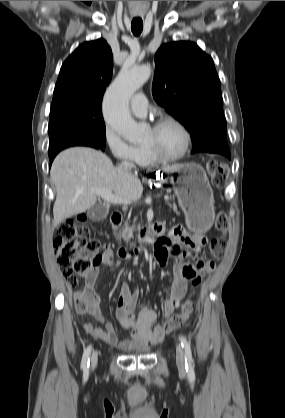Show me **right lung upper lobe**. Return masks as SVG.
I'll list each match as a JSON object with an SVG mask.
<instances>
[{
	"label": "right lung upper lobe",
	"instance_id": "right-lung-upper-lobe-1",
	"mask_svg": "<svg viewBox=\"0 0 285 418\" xmlns=\"http://www.w3.org/2000/svg\"><path fill=\"white\" fill-rule=\"evenodd\" d=\"M112 68V51L104 39L81 44L62 64L52 104L101 105Z\"/></svg>",
	"mask_w": 285,
	"mask_h": 418
}]
</instances>
